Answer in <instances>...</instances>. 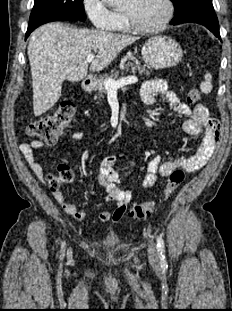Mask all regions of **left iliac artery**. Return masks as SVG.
<instances>
[{"mask_svg":"<svg viewBox=\"0 0 232 311\" xmlns=\"http://www.w3.org/2000/svg\"><path fill=\"white\" fill-rule=\"evenodd\" d=\"M157 249L159 252L161 264L165 265L166 264L165 245L161 236L157 237Z\"/></svg>","mask_w":232,"mask_h":311,"instance_id":"1","label":"left iliac artery"}]
</instances>
